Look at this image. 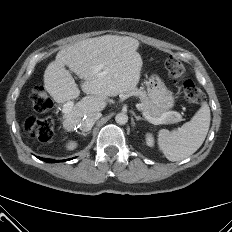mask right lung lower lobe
Returning a JSON list of instances; mask_svg holds the SVG:
<instances>
[{
  "mask_svg": "<svg viewBox=\"0 0 232 232\" xmlns=\"http://www.w3.org/2000/svg\"><path fill=\"white\" fill-rule=\"evenodd\" d=\"M38 158L45 161V162H49V163L60 162V161L54 160V159H47V158H41V157H38ZM61 161H66V160H61Z\"/></svg>",
  "mask_w": 232,
  "mask_h": 232,
  "instance_id": "obj_1",
  "label": "right lung lower lobe"
}]
</instances>
